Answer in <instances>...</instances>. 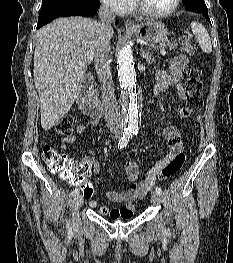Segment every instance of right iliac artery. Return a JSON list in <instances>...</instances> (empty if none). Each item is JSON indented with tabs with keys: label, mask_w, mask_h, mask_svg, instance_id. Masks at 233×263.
I'll return each instance as SVG.
<instances>
[{
	"label": "right iliac artery",
	"mask_w": 233,
	"mask_h": 263,
	"mask_svg": "<svg viewBox=\"0 0 233 263\" xmlns=\"http://www.w3.org/2000/svg\"><path fill=\"white\" fill-rule=\"evenodd\" d=\"M129 140H130V133L129 132H125L123 134V137L118 142V148L121 149V148L126 147V145L128 144ZM77 194H79V189L76 188L75 190H73L72 196H75ZM67 224H68V222H67Z\"/></svg>",
	"instance_id": "obj_1"
}]
</instances>
